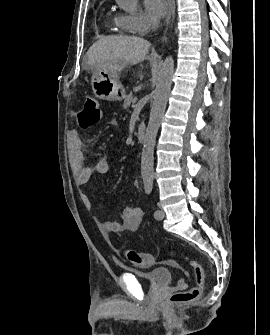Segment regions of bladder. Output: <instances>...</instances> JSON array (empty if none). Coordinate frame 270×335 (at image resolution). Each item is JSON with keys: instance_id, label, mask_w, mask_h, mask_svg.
Returning <instances> with one entry per match:
<instances>
[{"instance_id": "31cf9c89", "label": "bladder", "mask_w": 270, "mask_h": 335, "mask_svg": "<svg viewBox=\"0 0 270 335\" xmlns=\"http://www.w3.org/2000/svg\"><path fill=\"white\" fill-rule=\"evenodd\" d=\"M174 270L168 268H155L148 273H139L137 271H131L132 274L136 275L139 279L148 282L151 286L162 287L169 285L172 279Z\"/></svg>"}]
</instances>
